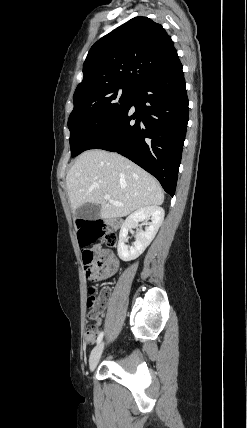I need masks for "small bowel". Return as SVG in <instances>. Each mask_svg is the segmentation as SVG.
I'll use <instances>...</instances> for the list:
<instances>
[{
	"label": "small bowel",
	"mask_w": 247,
	"mask_h": 428,
	"mask_svg": "<svg viewBox=\"0 0 247 428\" xmlns=\"http://www.w3.org/2000/svg\"><path fill=\"white\" fill-rule=\"evenodd\" d=\"M101 257L103 258V266L101 269H98L96 271L95 277L97 280L106 279L110 277L118 270V267H119V261L116 258V256L113 254V252L109 250H103L101 252ZM104 301L105 299H103L101 303V309L104 307ZM95 318H96V325L93 333L85 334V339L89 343H92L95 341V338L99 329V325H100V319L97 318V316Z\"/></svg>",
	"instance_id": "small-bowel-1"
}]
</instances>
